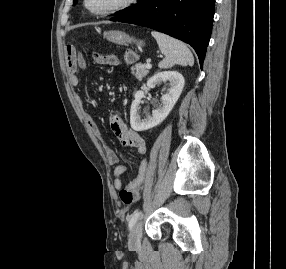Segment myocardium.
<instances>
[{"label":"myocardium","mask_w":286,"mask_h":269,"mask_svg":"<svg viewBox=\"0 0 286 269\" xmlns=\"http://www.w3.org/2000/svg\"><path fill=\"white\" fill-rule=\"evenodd\" d=\"M138 0H122L120 3L107 8V9H102V10H92L89 6V0H84L83 1V5L84 8L86 9V11L95 17H106V16H110L113 15L115 13L124 11L128 8H130L131 6H133Z\"/></svg>","instance_id":"1"}]
</instances>
